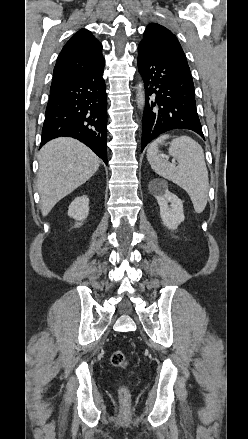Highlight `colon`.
<instances>
[{"instance_id":"5ec220e1","label":"colon","mask_w":248,"mask_h":439,"mask_svg":"<svg viewBox=\"0 0 248 439\" xmlns=\"http://www.w3.org/2000/svg\"><path fill=\"white\" fill-rule=\"evenodd\" d=\"M111 363L115 367L125 368L127 365V358L123 351H115L111 355ZM120 400L124 403L128 402L130 399V392L126 386H122L119 389Z\"/></svg>"}]
</instances>
